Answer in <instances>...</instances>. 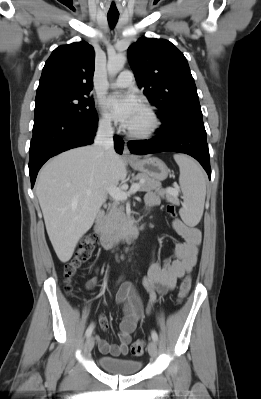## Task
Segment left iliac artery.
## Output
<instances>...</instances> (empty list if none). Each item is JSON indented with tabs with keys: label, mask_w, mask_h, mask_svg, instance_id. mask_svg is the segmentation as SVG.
Masks as SVG:
<instances>
[{
	"label": "left iliac artery",
	"mask_w": 261,
	"mask_h": 399,
	"mask_svg": "<svg viewBox=\"0 0 261 399\" xmlns=\"http://www.w3.org/2000/svg\"><path fill=\"white\" fill-rule=\"evenodd\" d=\"M151 337H152V339H153L155 342L158 341V335H157L156 331H152Z\"/></svg>",
	"instance_id": "obj_1"
}]
</instances>
